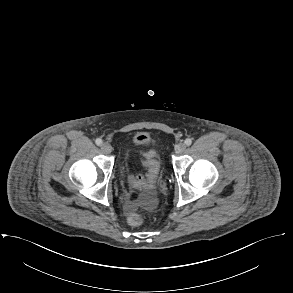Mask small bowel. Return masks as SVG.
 Returning <instances> with one entry per match:
<instances>
[{"label": "small bowel", "mask_w": 293, "mask_h": 293, "mask_svg": "<svg viewBox=\"0 0 293 293\" xmlns=\"http://www.w3.org/2000/svg\"><path fill=\"white\" fill-rule=\"evenodd\" d=\"M148 138L144 135H137L134 139L135 143H146ZM132 185L137 189L144 188V184L141 178L132 179ZM123 206L125 213L130 216L135 213L137 207V201L131 196L130 193H124L122 196Z\"/></svg>", "instance_id": "small-bowel-1"}]
</instances>
